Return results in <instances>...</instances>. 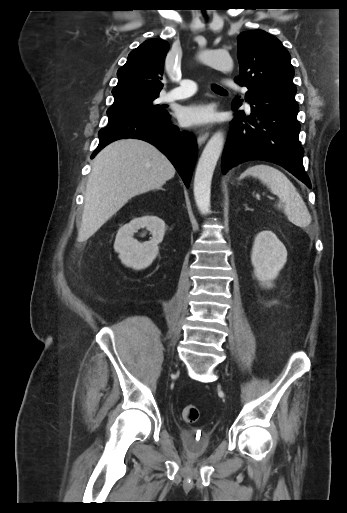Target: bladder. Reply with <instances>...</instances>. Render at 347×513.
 <instances>
[{
  "label": "bladder",
  "mask_w": 347,
  "mask_h": 513,
  "mask_svg": "<svg viewBox=\"0 0 347 513\" xmlns=\"http://www.w3.org/2000/svg\"><path fill=\"white\" fill-rule=\"evenodd\" d=\"M181 439L184 450L192 455H204L212 445L208 434L198 432L195 429H182Z\"/></svg>",
  "instance_id": "obj_1"
}]
</instances>
